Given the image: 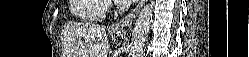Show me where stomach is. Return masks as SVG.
<instances>
[{"mask_svg":"<svg viewBox=\"0 0 249 57\" xmlns=\"http://www.w3.org/2000/svg\"><path fill=\"white\" fill-rule=\"evenodd\" d=\"M113 34H114L115 36H118V35H119V33H115V32H114Z\"/></svg>","mask_w":249,"mask_h":57,"instance_id":"1","label":"stomach"}]
</instances>
